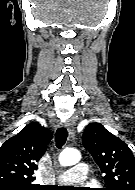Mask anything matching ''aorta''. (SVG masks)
Returning <instances> with one entry per match:
<instances>
[{
    "label": "aorta",
    "mask_w": 135,
    "mask_h": 190,
    "mask_svg": "<svg viewBox=\"0 0 135 190\" xmlns=\"http://www.w3.org/2000/svg\"><path fill=\"white\" fill-rule=\"evenodd\" d=\"M81 159V154L76 149H64L59 155V163L62 166H72L78 163Z\"/></svg>",
    "instance_id": "obj_1"
}]
</instances>
